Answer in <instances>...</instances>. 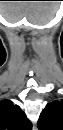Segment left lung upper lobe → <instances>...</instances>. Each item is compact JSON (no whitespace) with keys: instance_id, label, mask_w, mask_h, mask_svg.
<instances>
[{"instance_id":"5c2ea615","label":"left lung upper lobe","mask_w":63,"mask_h":130,"mask_svg":"<svg viewBox=\"0 0 63 130\" xmlns=\"http://www.w3.org/2000/svg\"><path fill=\"white\" fill-rule=\"evenodd\" d=\"M40 130H63V102L53 101L46 105L38 120Z\"/></svg>"}]
</instances>
